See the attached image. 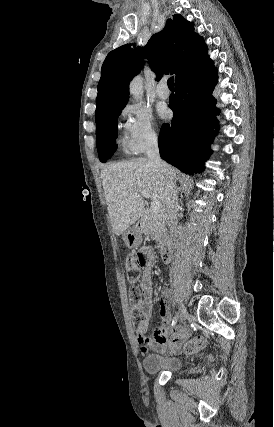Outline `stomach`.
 <instances>
[{"label":"stomach","mask_w":274,"mask_h":427,"mask_svg":"<svg viewBox=\"0 0 274 427\" xmlns=\"http://www.w3.org/2000/svg\"><path fill=\"white\" fill-rule=\"evenodd\" d=\"M123 239L126 245H128V247H131V249H133V247H138V245H140L142 237H141V229L138 223L137 225H133V227H129V229H127V231L123 233Z\"/></svg>","instance_id":"1"}]
</instances>
